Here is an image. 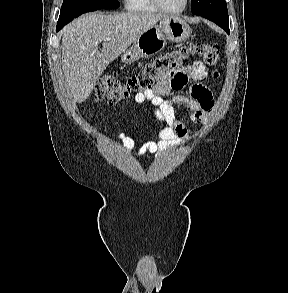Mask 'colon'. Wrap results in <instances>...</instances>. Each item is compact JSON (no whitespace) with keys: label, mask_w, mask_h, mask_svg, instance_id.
I'll return each instance as SVG.
<instances>
[{"label":"colon","mask_w":288,"mask_h":293,"mask_svg":"<svg viewBox=\"0 0 288 293\" xmlns=\"http://www.w3.org/2000/svg\"><path fill=\"white\" fill-rule=\"evenodd\" d=\"M194 55L201 57L205 64L216 66L220 48L214 42H197L172 49L147 63L124 82L112 75L100 77L94 87V96L97 100H106L110 104L124 101L133 93L151 89L161 75L181 68ZM212 75L218 78L219 72L215 69Z\"/></svg>","instance_id":"1"}]
</instances>
